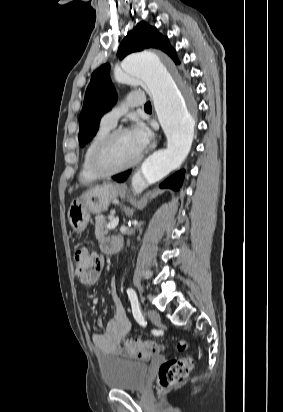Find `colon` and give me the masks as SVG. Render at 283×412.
Here are the masks:
<instances>
[{
  "instance_id": "colon-1",
  "label": "colon",
  "mask_w": 283,
  "mask_h": 412,
  "mask_svg": "<svg viewBox=\"0 0 283 412\" xmlns=\"http://www.w3.org/2000/svg\"><path fill=\"white\" fill-rule=\"evenodd\" d=\"M75 274L84 279L88 273L101 264V258L97 254L90 253L88 249H78L74 254ZM187 347L185 341L178 344L180 350ZM164 345L156 341H142L129 339L125 342V351L130 357L147 358L159 354ZM193 367V359L190 357L171 358L165 361L158 373V381L161 389L174 386L182 382Z\"/></svg>"
}]
</instances>
